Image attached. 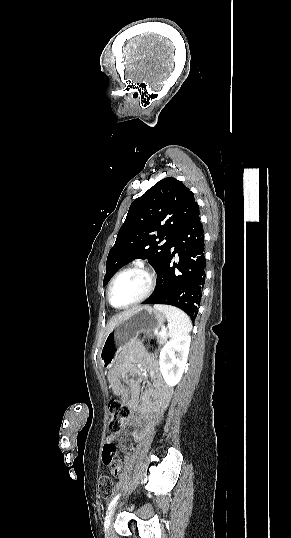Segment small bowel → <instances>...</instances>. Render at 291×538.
<instances>
[{
	"label": "small bowel",
	"mask_w": 291,
	"mask_h": 538,
	"mask_svg": "<svg viewBox=\"0 0 291 538\" xmlns=\"http://www.w3.org/2000/svg\"><path fill=\"white\" fill-rule=\"evenodd\" d=\"M145 378L150 379L155 388L143 395L140 404V383ZM108 381L112 394L124 400L130 408L131 413L126 425L135 428L132 433L133 440L142 441L150 430L159 403L167 401L172 393V389L163 384L158 362L146 354L124 351L118 363L108 365ZM126 437L127 432L122 429L110 435L106 442H116L121 450H126ZM109 467L113 475L121 476V461L116 460L115 464Z\"/></svg>",
	"instance_id": "1"
}]
</instances>
